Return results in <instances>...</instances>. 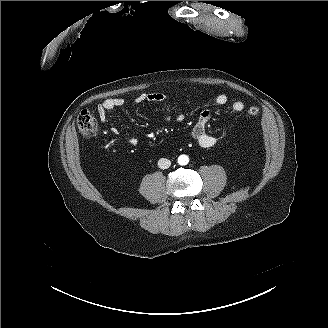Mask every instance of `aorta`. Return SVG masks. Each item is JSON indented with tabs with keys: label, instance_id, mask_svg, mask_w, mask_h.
Instances as JSON below:
<instances>
[{
	"label": "aorta",
	"instance_id": "762f6f07",
	"mask_svg": "<svg viewBox=\"0 0 328 328\" xmlns=\"http://www.w3.org/2000/svg\"><path fill=\"white\" fill-rule=\"evenodd\" d=\"M188 162H189V158H188L187 155H180L178 157V163H179V165L184 166V165H187Z\"/></svg>",
	"mask_w": 328,
	"mask_h": 328
}]
</instances>
